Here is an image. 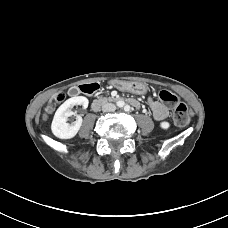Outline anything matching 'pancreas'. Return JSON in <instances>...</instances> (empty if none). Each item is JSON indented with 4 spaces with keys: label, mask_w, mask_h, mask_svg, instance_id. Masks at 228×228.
Returning <instances> with one entry per match:
<instances>
[{
    "label": "pancreas",
    "mask_w": 228,
    "mask_h": 228,
    "mask_svg": "<svg viewBox=\"0 0 228 228\" xmlns=\"http://www.w3.org/2000/svg\"><path fill=\"white\" fill-rule=\"evenodd\" d=\"M111 100H112L111 98H106V97L100 99V101H102V102H107V101H111Z\"/></svg>",
    "instance_id": "1"
}]
</instances>
